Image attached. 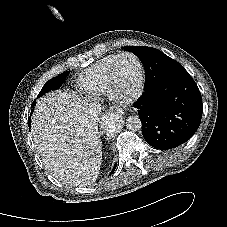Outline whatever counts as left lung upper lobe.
I'll use <instances>...</instances> for the list:
<instances>
[{
  "mask_svg": "<svg viewBox=\"0 0 227 227\" xmlns=\"http://www.w3.org/2000/svg\"><path fill=\"white\" fill-rule=\"evenodd\" d=\"M124 48L135 54L142 62L146 71L144 88L168 75L185 71L181 64L155 48L137 46H125Z\"/></svg>",
  "mask_w": 227,
  "mask_h": 227,
  "instance_id": "5c2ea615",
  "label": "left lung upper lobe"
}]
</instances>
